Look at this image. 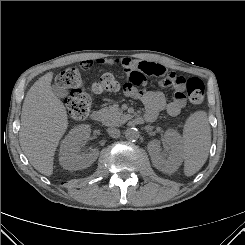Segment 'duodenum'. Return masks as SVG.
I'll list each match as a JSON object with an SVG mask.
<instances>
[{
  "instance_id": "1",
  "label": "duodenum",
  "mask_w": 245,
  "mask_h": 245,
  "mask_svg": "<svg viewBox=\"0 0 245 245\" xmlns=\"http://www.w3.org/2000/svg\"><path fill=\"white\" fill-rule=\"evenodd\" d=\"M102 118H103V115L98 110L93 111L91 114V119L94 122H101ZM146 121H151V118L147 117V116H135L131 120L132 124H134V125H141V124L145 123Z\"/></svg>"
}]
</instances>
